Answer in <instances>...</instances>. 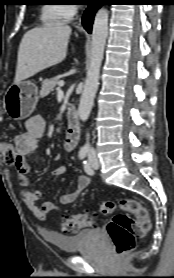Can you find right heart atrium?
Instances as JSON below:
<instances>
[{
    "label": "right heart atrium",
    "instance_id": "1",
    "mask_svg": "<svg viewBox=\"0 0 174 278\" xmlns=\"http://www.w3.org/2000/svg\"><path fill=\"white\" fill-rule=\"evenodd\" d=\"M78 6L75 4H66L64 5V11L68 18H71L75 15Z\"/></svg>",
    "mask_w": 174,
    "mask_h": 278
}]
</instances>
